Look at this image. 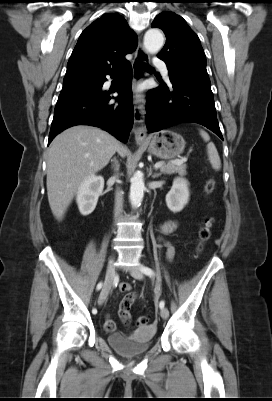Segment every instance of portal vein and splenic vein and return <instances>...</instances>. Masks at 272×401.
<instances>
[{
	"label": "portal vein and splenic vein",
	"mask_w": 272,
	"mask_h": 401,
	"mask_svg": "<svg viewBox=\"0 0 272 401\" xmlns=\"http://www.w3.org/2000/svg\"><path fill=\"white\" fill-rule=\"evenodd\" d=\"M184 161H186V158L177 159V160H172L170 163H173V164H181V163H183ZM161 166H162V163H161V162H158V163H156V164L154 165V168H155V169H159Z\"/></svg>",
	"instance_id": "1"
}]
</instances>
